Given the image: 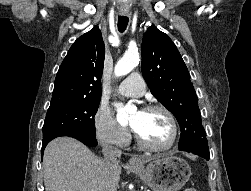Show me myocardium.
Wrapping results in <instances>:
<instances>
[{
  "label": "myocardium",
  "mask_w": 251,
  "mask_h": 191,
  "mask_svg": "<svg viewBox=\"0 0 251 191\" xmlns=\"http://www.w3.org/2000/svg\"><path fill=\"white\" fill-rule=\"evenodd\" d=\"M155 110L162 111L163 113L166 114V116L170 120V123L172 126V140H171V142L168 145L163 146V147L153 146V145L149 144L136 130H134L135 138H136L138 145L145 150H148L151 152H167V151L174 149L178 144L179 136H180L178 122L176 120L175 115L172 113V111L163 105L150 104L144 108V111H155Z\"/></svg>",
  "instance_id": "obj_1"
}]
</instances>
